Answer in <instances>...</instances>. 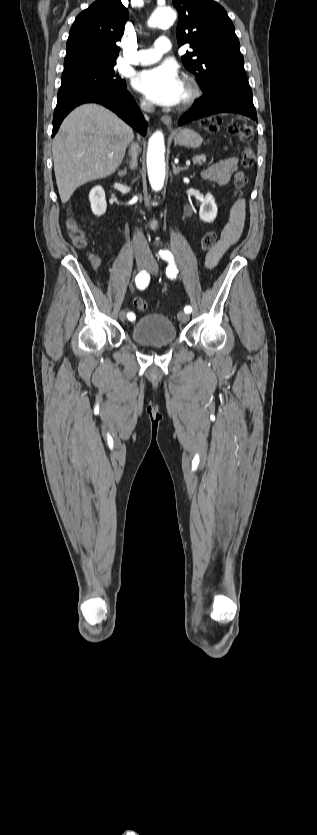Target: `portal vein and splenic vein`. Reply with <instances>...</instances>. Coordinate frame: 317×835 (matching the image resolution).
Returning <instances> with one entry per match:
<instances>
[{
    "label": "portal vein and splenic vein",
    "mask_w": 317,
    "mask_h": 835,
    "mask_svg": "<svg viewBox=\"0 0 317 835\" xmlns=\"http://www.w3.org/2000/svg\"><path fill=\"white\" fill-rule=\"evenodd\" d=\"M112 155H110L111 157ZM186 165H190V160H187Z\"/></svg>",
    "instance_id": "portal-vein-and-splenic-vein-1"
}]
</instances>
